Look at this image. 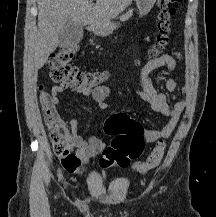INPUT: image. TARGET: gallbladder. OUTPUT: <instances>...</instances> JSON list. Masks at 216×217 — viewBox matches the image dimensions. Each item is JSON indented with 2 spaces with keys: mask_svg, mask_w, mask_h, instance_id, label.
Instances as JSON below:
<instances>
[{
  "mask_svg": "<svg viewBox=\"0 0 216 217\" xmlns=\"http://www.w3.org/2000/svg\"><path fill=\"white\" fill-rule=\"evenodd\" d=\"M83 38V28L69 19L59 33L58 46L70 48L76 46Z\"/></svg>",
  "mask_w": 216,
  "mask_h": 217,
  "instance_id": "gallbladder-1",
  "label": "gallbladder"
}]
</instances>
